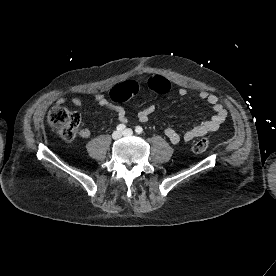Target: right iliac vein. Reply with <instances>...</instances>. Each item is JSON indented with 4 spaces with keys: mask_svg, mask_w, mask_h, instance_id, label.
Returning <instances> with one entry per match:
<instances>
[{
    "mask_svg": "<svg viewBox=\"0 0 276 276\" xmlns=\"http://www.w3.org/2000/svg\"><path fill=\"white\" fill-rule=\"evenodd\" d=\"M121 136H122V134H121L120 131H114L113 134H112V138H113L114 140L120 139Z\"/></svg>",
    "mask_w": 276,
    "mask_h": 276,
    "instance_id": "obj_1",
    "label": "right iliac vein"
}]
</instances>
